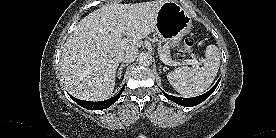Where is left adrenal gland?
Listing matches in <instances>:
<instances>
[{
    "mask_svg": "<svg viewBox=\"0 0 276 138\" xmlns=\"http://www.w3.org/2000/svg\"><path fill=\"white\" fill-rule=\"evenodd\" d=\"M161 67H162V66H161V64H160V69H159L160 71H161ZM163 71H165V69H164V68H163Z\"/></svg>",
    "mask_w": 276,
    "mask_h": 138,
    "instance_id": "left-adrenal-gland-1",
    "label": "left adrenal gland"
}]
</instances>
